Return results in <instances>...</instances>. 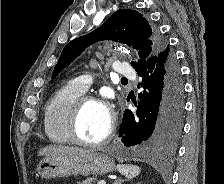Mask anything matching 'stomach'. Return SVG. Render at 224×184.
<instances>
[{
  "instance_id": "0dacf381",
  "label": "stomach",
  "mask_w": 224,
  "mask_h": 184,
  "mask_svg": "<svg viewBox=\"0 0 224 184\" xmlns=\"http://www.w3.org/2000/svg\"><path fill=\"white\" fill-rule=\"evenodd\" d=\"M114 169L115 164L106 154L82 152L74 155L46 157L40 161L37 171L42 178L51 179L70 175H102Z\"/></svg>"
}]
</instances>
